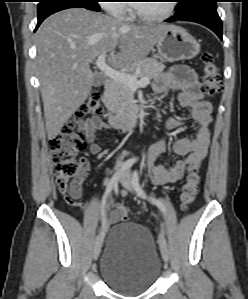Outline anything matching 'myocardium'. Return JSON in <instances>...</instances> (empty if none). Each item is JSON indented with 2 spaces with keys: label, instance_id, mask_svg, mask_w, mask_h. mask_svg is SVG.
<instances>
[{
  "label": "myocardium",
  "instance_id": "obj_1",
  "mask_svg": "<svg viewBox=\"0 0 248 299\" xmlns=\"http://www.w3.org/2000/svg\"><path fill=\"white\" fill-rule=\"evenodd\" d=\"M175 10H176V3L174 0H167L166 10L162 14L154 15V16L146 15L142 13L138 9L137 4H134L132 6V12L134 16H136L139 20L148 23H157V22L165 21L174 14Z\"/></svg>",
  "mask_w": 248,
  "mask_h": 299
}]
</instances>
